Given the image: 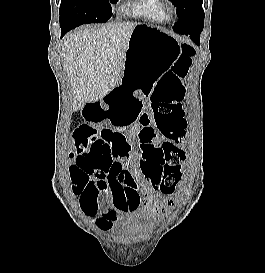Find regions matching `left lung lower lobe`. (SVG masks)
<instances>
[{
  "instance_id": "0a47b994",
  "label": "left lung lower lobe",
  "mask_w": 265,
  "mask_h": 273,
  "mask_svg": "<svg viewBox=\"0 0 265 273\" xmlns=\"http://www.w3.org/2000/svg\"><path fill=\"white\" fill-rule=\"evenodd\" d=\"M203 26L204 17L200 12H192L187 16H183L180 21L174 25L173 30L176 33L190 36L191 40L199 45V35L203 30Z\"/></svg>"
}]
</instances>
